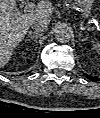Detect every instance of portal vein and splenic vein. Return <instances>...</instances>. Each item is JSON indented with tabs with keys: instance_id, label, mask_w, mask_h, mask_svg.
<instances>
[{
	"instance_id": "portal-vein-and-splenic-vein-1",
	"label": "portal vein and splenic vein",
	"mask_w": 100,
	"mask_h": 118,
	"mask_svg": "<svg viewBox=\"0 0 100 118\" xmlns=\"http://www.w3.org/2000/svg\"><path fill=\"white\" fill-rule=\"evenodd\" d=\"M37 9V5L33 2H28L26 5H25V8H24V12H31V11H35ZM17 15L20 14V11H17L16 12Z\"/></svg>"
}]
</instances>
